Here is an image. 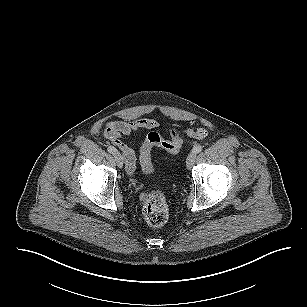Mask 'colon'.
Returning <instances> with one entry per match:
<instances>
[{
  "instance_id": "colon-1",
  "label": "colon",
  "mask_w": 307,
  "mask_h": 307,
  "mask_svg": "<svg viewBox=\"0 0 307 307\" xmlns=\"http://www.w3.org/2000/svg\"><path fill=\"white\" fill-rule=\"evenodd\" d=\"M208 132L205 128L174 127L170 131V138L165 139L157 132H150L142 144L140 150V161L144 172L151 173L153 164L151 152L154 147H160L165 151L175 154L180 151L183 145L184 135L203 139ZM141 215L143 219L152 226H161L165 224L169 218L170 207L163 193L159 191L144 192L141 195L140 205Z\"/></svg>"
}]
</instances>
